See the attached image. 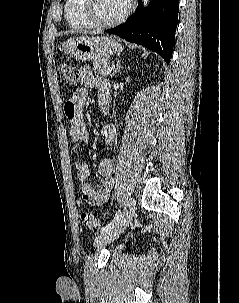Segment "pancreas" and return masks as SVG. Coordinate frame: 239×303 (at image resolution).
<instances>
[{
    "mask_svg": "<svg viewBox=\"0 0 239 303\" xmlns=\"http://www.w3.org/2000/svg\"><path fill=\"white\" fill-rule=\"evenodd\" d=\"M109 62L108 61H102V60H97L94 62L93 67L94 70L98 71L100 74L103 76H108L110 71L108 69Z\"/></svg>",
    "mask_w": 239,
    "mask_h": 303,
    "instance_id": "1",
    "label": "pancreas"
}]
</instances>
